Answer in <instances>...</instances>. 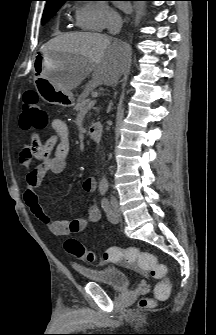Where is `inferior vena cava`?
<instances>
[{
  "label": "inferior vena cava",
  "mask_w": 216,
  "mask_h": 335,
  "mask_svg": "<svg viewBox=\"0 0 216 335\" xmlns=\"http://www.w3.org/2000/svg\"><path fill=\"white\" fill-rule=\"evenodd\" d=\"M122 20L118 15H114L110 18L107 29L111 35H116L121 31Z\"/></svg>",
  "instance_id": "obj_1"
}]
</instances>
